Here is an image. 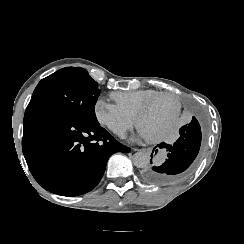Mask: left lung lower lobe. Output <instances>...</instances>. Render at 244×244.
I'll use <instances>...</instances> for the list:
<instances>
[{
	"label": "left lung lower lobe",
	"mask_w": 244,
	"mask_h": 244,
	"mask_svg": "<svg viewBox=\"0 0 244 244\" xmlns=\"http://www.w3.org/2000/svg\"><path fill=\"white\" fill-rule=\"evenodd\" d=\"M179 133L180 137L173 145L164 142L159 144V148H166L169 152L168 159L160 166H146L140 173L144 182L171 187L179 184L190 173L201 145L202 134L198 120L192 117V121L181 127Z\"/></svg>",
	"instance_id": "left-lung-lower-lobe-1"
}]
</instances>
